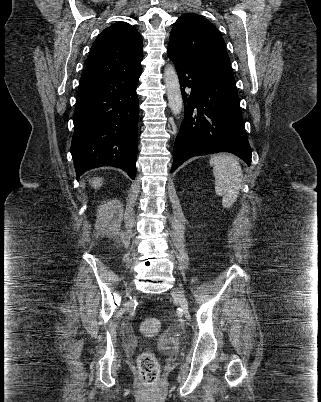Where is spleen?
Returning <instances> with one entry per match:
<instances>
[{
	"label": "spleen",
	"instance_id": "3e777b00",
	"mask_svg": "<svg viewBox=\"0 0 321 402\" xmlns=\"http://www.w3.org/2000/svg\"><path fill=\"white\" fill-rule=\"evenodd\" d=\"M215 177V192L223 197V206L230 208L239 196L242 184V169L238 160L226 154L210 158Z\"/></svg>",
	"mask_w": 321,
	"mask_h": 402
}]
</instances>
